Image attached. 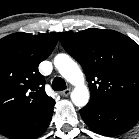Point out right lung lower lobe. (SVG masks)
Returning <instances> with one entry per match:
<instances>
[{
	"mask_svg": "<svg viewBox=\"0 0 139 139\" xmlns=\"http://www.w3.org/2000/svg\"><path fill=\"white\" fill-rule=\"evenodd\" d=\"M54 104L49 106L32 120L21 124L2 135L9 139H36L40 137L51 121Z\"/></svg>",
	"mask_w": 139,
	"mask_h": 139,
	"instance_id": "obj_1",
	"label": "right lung lower lobe"
}]
</instances>
